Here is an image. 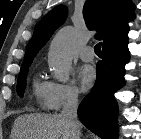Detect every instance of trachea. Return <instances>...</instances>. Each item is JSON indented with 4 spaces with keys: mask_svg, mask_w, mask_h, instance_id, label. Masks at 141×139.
I'll list each match as a JSON object with an SVG mask.
<instances>
[{
    "mask_svg": "<svg viewBox=\"0 0 141 139\" xmlns=\"http://www.w3.org/2000/svg\"><path fill=\"white\" fill-rule=\"evenodd\" d=\"M94 51L97 55L101 54V43H98V44L95 45Z\"/></svg>",
    "mask_w": 141,
    "mask_h": 139,
    "instance_id": "1",
    "label": "trachea"
}]
</instances>
